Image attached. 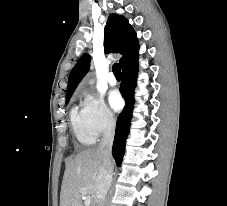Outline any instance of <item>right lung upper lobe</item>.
Returning <instances> with one entry per match:
<instances>
[{
    "label": "right lung upper lobe",
    "mask_w": 227,
    "mask_h": 206,
    "mask_svg": "<svg viewBox=\"0 0 227 206\" xmlns=\"http://www.w3.org/2000/svg\"><path fill=\"white\" fill-rule=\"evenodd\" d=\"M104 47L107 53L115 52L122 55L119 60L122 70L138 60L139 45L136 33L123 16L117 14L109 16L104 29ZM90 61L89 55L80 57L69 75L66 97H71L76 86L87 73Z\"/></svg>",
    "instance_id": "obj_1"
}]
</instances>
